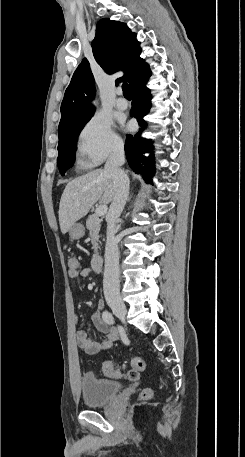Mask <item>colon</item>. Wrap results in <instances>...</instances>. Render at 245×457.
I'll return each mask as SVG.
<instances>
[{
    "mask_svg": "<svg viewBox=\"0 0 245 457\" xmlns=\"http://www.w3.org/2000/svg\"><path fill=\"white\" fill-rule=\"evenodd\" d=\"M68 266L70 270H76L78 267V261L75 256L68 257ZM131 369L125 371L124 365H120L114 361H105L102 365V371L104 375L113 378H126L131 381H135L139 377V372L145 367L144 360L139 356H132L129 360ZM152 392L150 389H143L140 393V400L150 399Z\"/></svg>",
    "mask_w": 245,
    "mask_h": 457,
    "instance_id": "obj_1",
    "label": "colon"
}]
</instances>
